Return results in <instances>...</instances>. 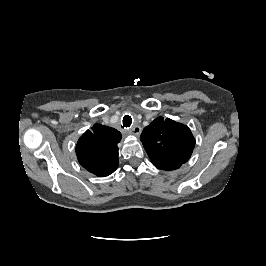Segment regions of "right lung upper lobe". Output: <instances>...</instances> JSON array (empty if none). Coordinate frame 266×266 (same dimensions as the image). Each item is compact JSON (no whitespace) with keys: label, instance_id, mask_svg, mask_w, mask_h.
I'll return each instance as SVG.
<instances>
[{"label":"right lung upper lobe","instance_id":"cb5924a9","mask_svg":"<svg viewBox=\"0 0 266 266\" xmlns=\"http://www.w3.org/2000/svg\"><path fill=\"white\" fill-rule=\"evenodd\" d=\"M122 135L114 128L94 124L78 140L76 154L79 163L89 172L105 177L119 164L118 146Z\"/></svg>","mask_w":266,"mask_h":266}]
</instances>
